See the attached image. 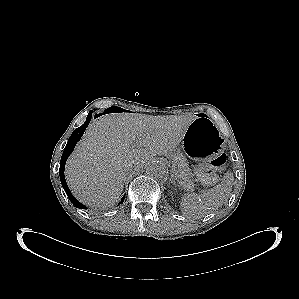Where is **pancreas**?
I'll return each instance as SVG.
<instances>
[{
  "mask_svg": "<svg viewBox=\"0 0 299 299\" xmlns=\"http://www.w3.org/2000/svg\"><path fill=\"white\" fill-rule=\"evenodd\" d=\"M176 162H177V170L176 173L178 175L179 180L188 188L193 187V181H192V172L189 168L187 159L184 155L179 154L176 156Z\"/></svg>",
  "mask_w": 299,
  "mask_h": 299,
  "instance_id": "pancreas-1",
  "label": "pancreas"
}]
</instances>
